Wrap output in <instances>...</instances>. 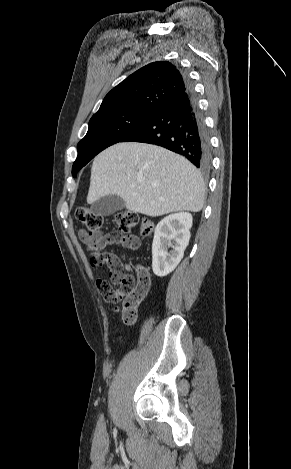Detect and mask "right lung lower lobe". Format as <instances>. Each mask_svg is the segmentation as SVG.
I'll list each match as a JSON object with an SVG mask.
<instances>
[{"mask_svg": "<svg viewBox=\"0 0 291 469\" xmlns=\"http://www.w3.org/2000/svg\"><path fill=\"white\" fill-rule=\"evenodd\" d=\"M187 88L163 104L135 131L120 142H142L176 152L201 170L211 163L208 133L197 100L185 77Z\"/></svg>", "mask_w": 291, "mask_h": 469, "instance_id": "98d812e1", "label": "right lung lower lobe"}]
</instances>
